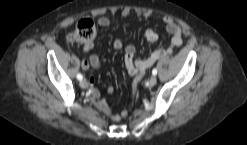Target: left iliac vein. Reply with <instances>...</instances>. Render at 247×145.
Wrapping results in <instances>:
<instances>
[{"label": "left iliac vein", "mask_w": 247, "mask_h": 145, "mask_svg": "<svg viewBox=\"0 0 247 145\" xmlns=\"http://www.w3.org/2000/svg\"><path fill=\"white\" fill-rule=\"evenodd\" d=\"M156 83H157V78H156V76H152V77L148 80L147 86H148V87H153V86L156 85Z\"/></svg>", "instance_id": "1"}]
</instances>
